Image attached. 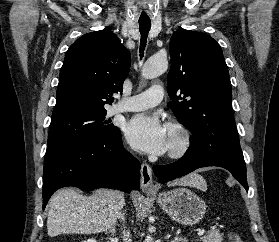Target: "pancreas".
Listing matches in <instances>:
<instances>
[{
	"mask_svg": "<svg viewBox=\"0 0 279 242\" xmlns=\"http://www.w3.org/2000/svg\"><path fill=\"white\" fill-rule=\"evenodd\" d=\"M223 234L219 233L218 230H213L201 237L203 242H222Z\"/></svg>",
	"mask_w": 279,
	"mask_h": 242,
	"instance_id": "cf45deb5",
	"label": "pancreas"
}]
</instances>
